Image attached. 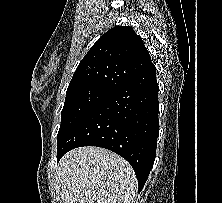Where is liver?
Masks as SVG:
<instances>
[{"mask_svg": "<svg viewBox=\"0 0 222 203\" xmlns=\"http://www.w3.org/2000/svg\"><path fill=\"white\" fill-rule=\"evenodd\" d=\"M57 179L63 203H136L138 182L133 168L103 148L82 147L66 153Z\"/></svg>", "mask_w": 222, "mask_h": 203, "instance_id": "liver-1", "label": "liver"}]
</instances>
